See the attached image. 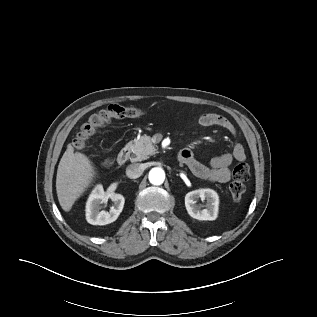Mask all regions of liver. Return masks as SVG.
<instances>
[{
  "mask_svg": "<svg viewBox=\"0 0 317 317\" xmlns=\"http://www.w3.org/2000/svg\"><path fill=\"white\" fill-rule=\"evenodd\" d=\"M96 171L92 162L69 145L57 169L56 191L62 209L70 211L76 199L91 183Z\"/></svg>",
  "mask_w": 317,
  "mask_h": 317,
  "instance_id": "1",
  "label": "liver"
}]
</instances>
